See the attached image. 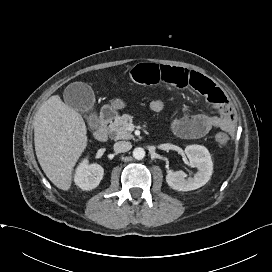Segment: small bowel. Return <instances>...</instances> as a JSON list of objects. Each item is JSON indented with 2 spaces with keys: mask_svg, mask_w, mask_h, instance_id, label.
<instances>
[{
  "mask_svg": "<svg viewBox=\"0 0 272 272\" xmlns=\"http://www.w3.org/2000/svg\"><path fill=\"white\" fill-rule=\"evenodd\" d=\"M131 78L139 85L168 84L179 88L189 87L204 95L219 112V115L175 117L171 121V129L178 137L200 138L216 128L234 134V116L224 92L203 75L184 68L144 63L133 68Z\"/></svg>",
  "mask_w": 272,
  "mask_h": 272,
  "instance_id": "c3829d8e",
  "label": "small bowel"
}]
</instances>
